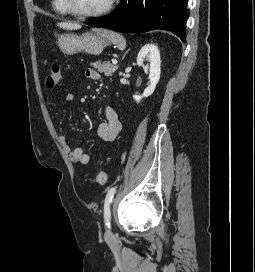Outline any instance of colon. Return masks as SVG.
I'll use <instances>...</instances> for the list:
<instances>
[{"label": "colon", "instance_id": "colon-1", "mask_svg": "<svg viewBox=\"0 0 255 272\" xmlns=\"http://www.w3.org/2000/svg\"><path fill=\"white\" fill-rule=\"evenodd\" d=\"M62 75H61V68L58 63H54L50 66L47 77H46V86L48 88H55L61 84ZM107 174L104 171H100L95 178V181L103 185L107 182Z\"/></svg>", "mask_w": 255, "mask_h": 272}]
</instances>
